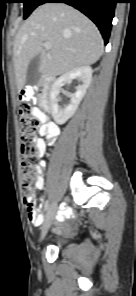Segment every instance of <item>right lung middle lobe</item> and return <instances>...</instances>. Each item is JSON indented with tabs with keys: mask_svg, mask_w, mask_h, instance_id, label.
Listing matches in <instances>:
<instances>
[{
	"mask_svg": "<svg viewBox=\"0 0 136 296\" xmlns=\"http://www.w3.org/2000/svg\"><path fill=\"white\" fill-rule=\"evenodd\" d=\"M18 2L24 3L23 18L26 19L36 7L42 4L43 0H19Z\"/></svg>",
	"mask_w": 136,
	"mask_h": 296,
	"instance_id": "1",
	"label": "right lung middle lobe"
}]
</instances>
